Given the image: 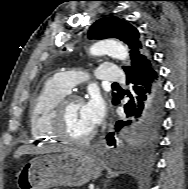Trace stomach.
Segmentation results:
<instances>
[{
    "instance_id": "0dacf381",
    "label": "stomach",
    "mask_w": 188,
    "mask_h": 189,
    "mask_svg": "<svg viewBox=\"0 0 188 189\" xmlns=\"http://www.w3.org/2000/svg\"><path fill=\"white\" fill-rule=\"evenodd\" d=\"M101 163L94 154L63 152L35 157L17 175L19 189L82 186L100 176Z\"/></svg>"
}]
</instances>
